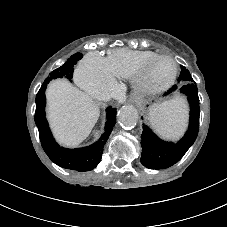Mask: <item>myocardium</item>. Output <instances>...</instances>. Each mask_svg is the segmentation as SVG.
Here are the masks:
<instances>
[{"mask_svg":"<svg viewBox=\"0 0 227 227\" xmlns=\"http://www.w3.org/2000/svg\"><path fill=\"white\" fill-rule=\"evenodd\" d=\"M161 60L168 61L171 66L170 73L164 77L155 73V65ZM176 74L177 65L171 56L156 55L134 77V87L142 95L156 94L166 89L174 81Z\"/></svg>","mask_w":227,"mask_h":227,"instance_id":"myocardium-1","label":"myocardium"}]
</instances>
